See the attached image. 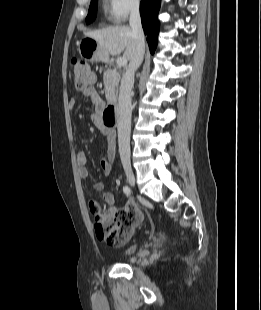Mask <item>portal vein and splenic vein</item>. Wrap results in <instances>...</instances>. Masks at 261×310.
<instances>
[{"instance_id": "1", "label": "portal vein and splenic vein", "mask_w": 261, "mask_h": 310, "mask_svg": "<svg viewBox=\"0 0 261 310\" xmlns=\"http://www.w3.org/2000/svg\"><path fill=\"white\" fill-rule=\"evenodd\" d=\"M116 63L119 66H125L127 65V59H125L124 57H120L116 60Z\"/></svg>"}]
</instances>
